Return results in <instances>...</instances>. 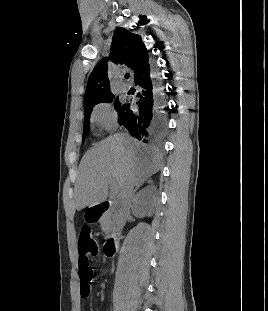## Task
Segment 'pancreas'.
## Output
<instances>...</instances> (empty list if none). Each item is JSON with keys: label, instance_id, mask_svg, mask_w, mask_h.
<instances>
[{"label": "pancreas", "instance_id": "obj_1", "mask_svg": "<svg viewBox=\"0 0 268 311\" xmlns=\"http://www.w3.org/2000/svg\"><path fill=\"white\" fill-rule=\"evenodd\" d=\"M100 224H101L102 231L106 235H108L109 232L112 230V226L114 225V221H113L111 214L104 215L100 220Z\"/></svg>", "mask_w": 268, "mask_h": 311}]
</instances>
